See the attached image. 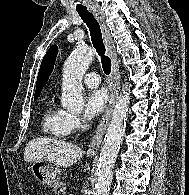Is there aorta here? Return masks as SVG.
<instances>
[{
  "instance_id": "aorta-1",
  "label": "aorta",
  "mask_w": 189,
  "mask_h": 195,
  "mask_svg": "<svg viewBox=\"0 0 189 195\" xmlns=\"http://www.w3.org/2000/svg\"><path fill=\"white\" fill-rule=\"evenodd\" d=\"M94 52L86 46H78L70 54L63 67L62 106L71 111H81L84 106L82 78L91 64ZM130 90L122 89L115 104L112 117L100 151L98 179L95 195H108L113 168L125 133Z\"/></svg>"
}]
</instances>
